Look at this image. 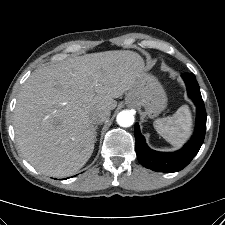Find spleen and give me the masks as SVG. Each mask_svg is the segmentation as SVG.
Listing matches in <instances>:
<instances>
[{
	"mask_svg": "<svg viewBox=\"0 0 225 225\" xmlns=\"http://www.w3.org/2000/svg\"><path fill=\"white\" fill-rule=\"evenodd\" d=\"M192 116L187 105H183L172 115L154 121V128L173 146H181L190 135Z\"/></svg>",
	"mask_w": 225,
	"mask_h": 225,
	"instance_id": "spleen-1",
	"label": "spleen"
}]
</instances>
